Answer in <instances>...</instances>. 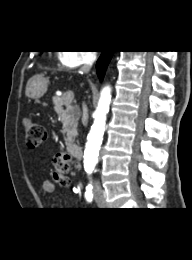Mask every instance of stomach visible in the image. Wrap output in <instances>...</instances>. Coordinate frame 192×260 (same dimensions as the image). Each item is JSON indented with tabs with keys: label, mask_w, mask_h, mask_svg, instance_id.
I'll list each match as a JSON object with an SVG mask.
<instances>
[{
	"label": "stomach",
	"mask_w": 192,
	"mask_h": 260,
	"mask_svg": "<svg viewBox=\"0 0 192 260\" xmlns=\"http://www.w3.org/2000/svg\"><path fill=\"white\" fill-rule=\"evenodd\" d=\"M48 81L42 76L32 77L27 84L28 97L38 99L47 91Z\"/></svg>",
	"instance_id": "0dacf381"
}]
</instances>
